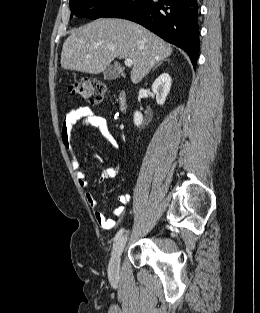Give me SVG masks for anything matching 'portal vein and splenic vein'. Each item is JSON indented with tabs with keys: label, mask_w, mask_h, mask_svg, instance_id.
I'll return each instance as SVG.
<instances>
[{
	"label": "portal vein and splenic vein",
	"mask_w": 260,
	"mask_h": 313,
	"mask_svg": "<svg viewBox=\"0 0 260 313\" xmlns=\"http://www.w3.org/2000/svg\"><path fill=\"white\" fill-rule=\"evenodd\" d=\"M125 65L127 66V67H131L132 65H133V61H132V59H125Z\"/></svg>",
	"instance_id": "obj_1"
}]
</instances>
